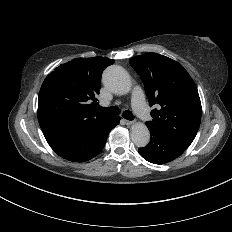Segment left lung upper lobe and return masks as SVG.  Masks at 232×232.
<instances>
[{
  "mask_svg": "<svg viewBox=\"0 0 232 232\" xmlns=\"http://www.w3.org/2000/svg\"><path fill=\"white\" fill-rule=\"evenodd\" d=\"M130 64L141 76L150 106L158 105L148 129L189 147L200 126L201 102L188 72L157 53L133 57Z\"/></svg>",
  "mask_w": 232,
  "mask_h": 232,
  "instance_id": "1",
  "label": "left lung upper lobe"
}]
</instances>
